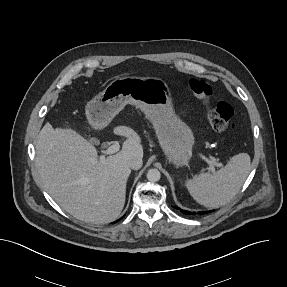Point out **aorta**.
<instances>
[{"label": "aorta", "mask_w": 287, "mask_h": 287, "mask_svg": "<svg viewBox=\"0 0 287 287\" xmlns=\"http://www.w3.org/2000/svg\"><path fill=\"white\" fill-rule=\"evenodd\" d=\"M161 178V173L158 169H150L148 170L147 172V179L150 181V182H157L159 181Z\"/></svg>", "instance_id": "1"}]
</instances>
